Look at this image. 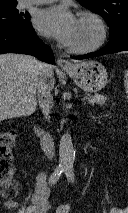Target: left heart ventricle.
Instances as JSON below:
<instances>
[{
	"instance_id": "b2bd125f",
	"label": "left heart ventricle",
	"mask_w": 128,
	"mask_h": 213,
	"mask_svg": "<svg viewBox=\"0 0 128 213\" xmlns=\"http://www.w3.org/2000/svg\"><path fill=\"white\" fill-rule=\"evenodd\" d=\"M97 37V26L90 20L79 19L74 37L69 46L84 47L92 44Z\"/></svg>"
}]
</instances>
